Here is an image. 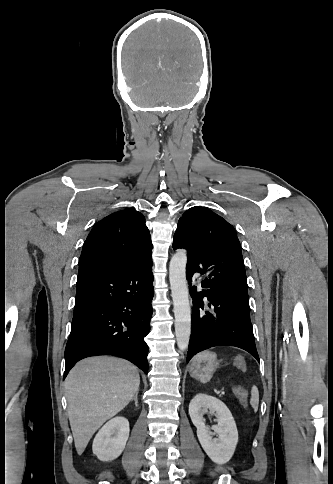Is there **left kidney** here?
<instances>
[{
    "mask_svg": "<svg viewBox=\"0 0 333 484\" xmlns=\"http://www.w3.org/2000/svg\"><path fill=\"white\" fill-rule=\"evenodd\" d=\"M208 410L215 412L217 418V425L211 428L218 435L217 439L212 438V432L205 425L203 415ZM189 415L197 428V437L205 453L217 464L227 463L238 442L236 423L227 406L220 399L200 393L191 400Z\"/></svg>",
    "mask_w": 333,
    "mask_h": 484,
    "instance_id": "5707ae66",
    "label": "left kidney"
}]
</instances>
